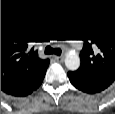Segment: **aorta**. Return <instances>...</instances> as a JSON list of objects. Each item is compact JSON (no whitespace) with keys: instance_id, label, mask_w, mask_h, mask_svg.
<instances>
[{"instance_id":"1","label":"aorta","mask_w":115,"mask_h":114,"mask_svg":"<svg viewBox=\"0 0 115 114\" xmlns=\"http://www.w3.org/2000/svg\"><path fill=\"white\" fill-rule=\"evenodd\" d=\"M65 65L69 70H77L80 66V58L77 53L70 51L65 56Z\"/></svg>"}]
</instances>
